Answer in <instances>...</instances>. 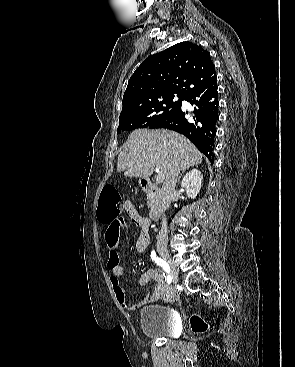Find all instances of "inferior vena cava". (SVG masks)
I'll list each match as a JSON object with an SVG mask.
<instances>
[{
	"mask_svg": "<svg viewBox=\"0 0 295 367\" xmlns=\"http://www.w3.org/2000/svg\"><path fill=\"white\" fill-rule=\"evenodd\" d=\"M179 169H173L170 176H168L162 186L161 189V201L163 210H167L170 206L173 194L175 192V186L177 182V177L179 175ZM167 222L165 215L162 218V227L160 232L157 235V246H166L167 245Z\"/></svg>",
	"mask_w": 295,
	"mask_h": 367,
	"instance_id": "inferior-vena-cava-1",
	"label": "inferior vena cava"
}]
</instances>
